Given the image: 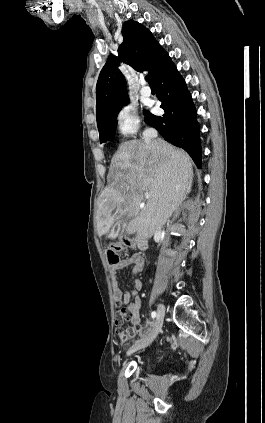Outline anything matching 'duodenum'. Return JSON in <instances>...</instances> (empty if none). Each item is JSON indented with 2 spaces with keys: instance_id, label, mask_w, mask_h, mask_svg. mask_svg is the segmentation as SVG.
Instances as JSON below:
<instances>
[{
  "instance_id": "1",
  "label": "duodenum",
  "mask_w": 265,
  "mask_h": 423,
  "mask_svg": "<svg viewBox=\"0 0 265 423\" xmlns=\"http://www.w3.org/2000/svg\"><path fill=\"white\" fill-rule=\"evenodd\" d=\"M135 240L140 250L146 249L147 245L144 239H142L141 237H136Z\"/></svg>"
}]
</instances>
